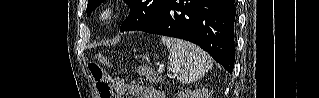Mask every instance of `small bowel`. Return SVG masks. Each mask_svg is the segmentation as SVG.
Segmentation results:
<instances>
[{"instance_id":"1","label":"small bowel","mask_w":319,"mask_h":98,"mask_svg":"<svg viewBox=\"0 0 319 98\" xmlns=\"http://www.w3.org/2000/svg\"><path fill=\"white\" fill-rule=\"evenodd\" d=\"M110 82L116 93L114 98H122L125 95L138 98H164L161 92L153 87L140 84H129L126 81L118 78H111Z\"/></svg>"}]
</instances>
